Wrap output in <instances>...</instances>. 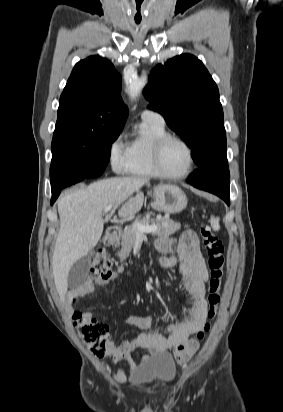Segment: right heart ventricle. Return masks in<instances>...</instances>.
Instances as JSON below:
<instances>
[{
	"mask_svg": "<svg viewBox=\"0 0 283 412\" xmlns=\"http://www.w3.org/2000/svg\"><path fill=\"white\" fill-rule=\"evenodd\" d=\"M166 134L164 125L145 121L142 132L127 145L123 171L131 175L157 176L153 163V148L155 142Z\"/></svg>",
	"mask_w": 283,
	"mask_h": 412,
	"instance_id": "e07e8e85",
	"label": "right heart ventricle"
}]
</instances>
